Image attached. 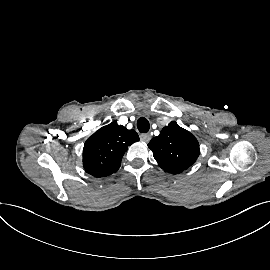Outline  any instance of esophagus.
Here are the masks:
<instances>
[{
	"mask_svg": "<svg viewBox=\"0 0 270 270\" xmlns=\"http://www.w3.org/2000/svg\"><path fill=\"white\" fill-rule=\"evenodd\" d=\"M140 139L143 142H149L150 139H151V135L148 134V133H143V134L140 135Z\"/></svg>",
	"mask_w": 270,
	"mask_h": 270,
	"instance_id": "34e87169",
	"label": "esophagus"
}]
</instances>
